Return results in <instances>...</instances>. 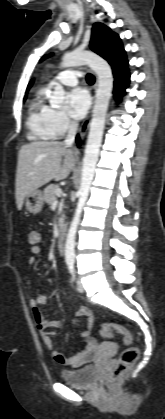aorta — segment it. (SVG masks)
Returning a JSON list of instances; mask_svg holds the SVG:
<instances>
[{
  "instance_id": "1",
  "label": "aorta",
  "mask_w": 165,
  "mask_h": 419,
  "mask_svg": "<svg viewBox=\"0 0 165 419\" xmlns=\"http://www.w3.org/2000/svg\"><path fill=\"white\" fill-rule=\"evenodd\" d=\"M79 65H88L96 73L98 77V87L96 90L90 130L83 158L81 182L78 191L79 199L66 237L65 261L68 265L73 264L75 260L76 232L94 178L105 127V118L113 89L112 70L110 65L103 58L89 51H73L64 54L61 63L62 68ZM64 99V88L59 83H56L54 91L49 98L51 107L59 108L63 104Z\"/></svg>"
}]
</instances>
